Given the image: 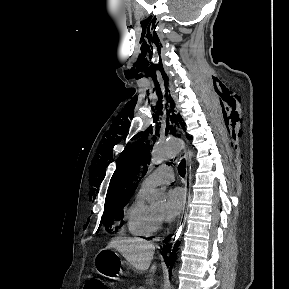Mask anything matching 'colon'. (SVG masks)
Here are the masks:
<instances>
[{
  "label": "colon",
  "mask_w": 289,
  "mask_h": 289,
  "mask_svg": "<svg viewBox=\"0 0 289 289\" xmlns=\"http://www.w3.org/2000/svg\"><path fill=\"white\" fill-rule=\"evenodd\" d=\"M85 289H105V283L100 278H91L87 281Z\"/></svg>",
  "instance_id": "colon-1"
}]
</instances>
